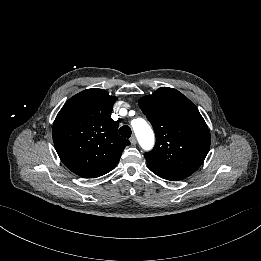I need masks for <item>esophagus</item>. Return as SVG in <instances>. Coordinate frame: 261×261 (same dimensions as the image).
Returning a JSON list of instances; mask_svg holds the SVG:
<instances>
[{"instance_id": "esophagus-1", "label": "esophagus", "mask_w": 261, "mask_h": 261, "mask_svg": "<svg viewBox=\"0 0 261 261\" xmlns=\"http://www.w3.org/2000/svg\"><path fill=\"white\" fill-rule=\"evenodd\" d=\"M130 142H131L132 145H136V143H137L136 137H135V136H132V137L130 138Z\"/></svg>"}]
</instances>
